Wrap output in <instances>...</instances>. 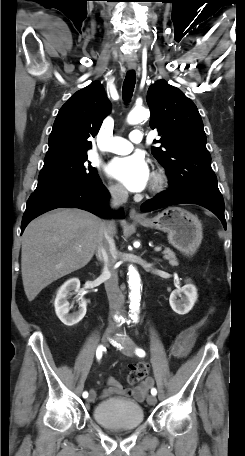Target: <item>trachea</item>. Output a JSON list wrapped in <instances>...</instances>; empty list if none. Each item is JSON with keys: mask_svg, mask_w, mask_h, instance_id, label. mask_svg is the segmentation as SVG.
<instances>
[{"mask_svg": "<svg viewBox=\"0 0 245 456\" xmlns=\"http://www.w3.org/2000/svg\"><path fill=\"white\" fill-rule=\"evenodd\" d=\"M136 76L134 71H129L127 76L125 77L123 87H122V94L123 99L126 102H129L133 95L134 87H135Z\"/></svg>", "mask_w": 245, "mask_h": 456, "instance_id": "trachea-1", "label": "trachea"}]
</instances>
